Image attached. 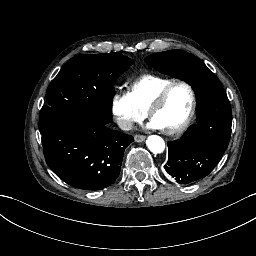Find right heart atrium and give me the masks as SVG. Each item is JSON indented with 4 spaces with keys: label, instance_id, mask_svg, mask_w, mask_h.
<instances>
[{
    "label": "right heart atrium",
    "instance_id": "obj_1",
    "mask_svg": "<svg viewBox=\"0 0 256 256\" xmlns=\"http://www.w3.org/2000/svg\"><path fill=\"white\" fill-rule=\"evenodd\" d=\"M129 99H131V95L130 94H124L123 96H116V103L120 102V101H128ZM113 114L114 116L117 117L114 109H113ZM143 119V112L141 110H135L132 111L128 117L125 118V123L129 124V123H138Z\"/></svg>",
    "mask_w": 256,
    "mask_h": 256
}]
</instances>
